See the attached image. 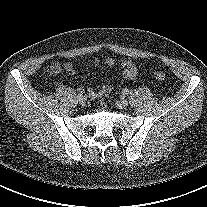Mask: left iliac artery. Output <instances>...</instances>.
<instances>
[{"label":"left iliac artery","mask_w":207,"mask_h":207,"mask_svg":"<svg viewBox=\"0 0 207 207\" xmlns=\"http://www.w3.org/2000/svg\"><path fill=\"white\" fill-rule=\"evenodd\" d=\"M122 94H123V95H128V94H129V90H128V89H126V88H125V89H123Z\"/></svg>","instance_id":"obj_1"}]
</instances>
